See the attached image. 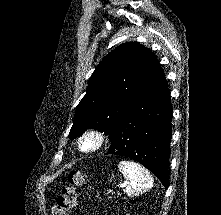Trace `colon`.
<instances>
[{
  "instance_id": "5ec220e1",
  "label": "colon",
  "mask_w": 221,
  "mask_h": 215,
  "mask_svg": "<svg viewBox=\"0 0 221 215\" xmlns=\"http://www.w3.org/2000/svg\"><path fill=\"white\" fill-rule=\"evenodd\" d=\"M84 176L79 171H71L67 175V183L60 191L52 215H70L77 204V190L83 185Z\"/></svg>"
}]
</instances>
